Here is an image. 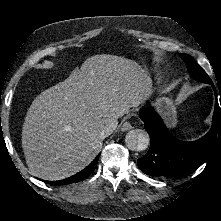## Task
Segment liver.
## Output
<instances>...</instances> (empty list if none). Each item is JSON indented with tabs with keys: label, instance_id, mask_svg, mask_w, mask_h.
I'll use <instances>...</instances> for the list:
<instances>
[{
	"label": "liver",
	"instance_id": "obj_1",
	"mask_svg": "<svg viewBox=\"0 0 221 221\" xmlns=\"http://www.w3.org/2000/svg\"><path fill=\"white\" fill-rule=\"evenodd\" d=\"M152 80L138 63L95 55L32 102L22 128V148L33 176L56 181L86 167L100 152V130L151 94ZM69 126L70 130L65 128Z\"/></svg>",
	"mask_w": 221,
	"mask_h": 221
}]
</instances>
